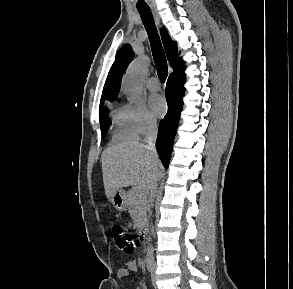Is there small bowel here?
<instances>
[{"label":"small bowel","mask_w":293,"mask_h":289,"mask_svg":"<svg viewBox=\"0 0 293 289\" xmlns=\"http://www.w3.org/2000/svg\"><path fill=\"white\" fill-rule=\"evenodd\" d=\"M137 269V263L134 261H128L126 262L125 266L120 268L118 270V277L119 278H125L127 276H129L130 273L135 272ZM140 289H146L145 287H141Z\"/></svg>","instance_id":"1"}]
</instances>
